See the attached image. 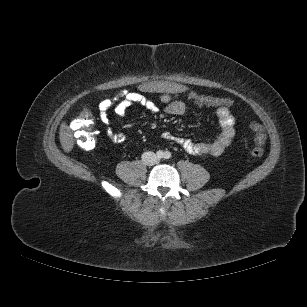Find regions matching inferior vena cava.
Instances as JSON below:
<instances>
[{
	"label": "inferior vena cava",
	"mask_w": 307,
	"mask_h": 307,
	"mask_svg": "<svg viewBox=\"0 0 307 307\" xmlns=\"http://www.w3.org/2000/svg\"><path fill=\"white\" fill-rule=\"evenodd\" d=\"M142 162L148 166L155 165L158 162V157L154 152L147 151L142 154Z\"/></svg>",
	"instance_id": "1"
}]
</instances>
